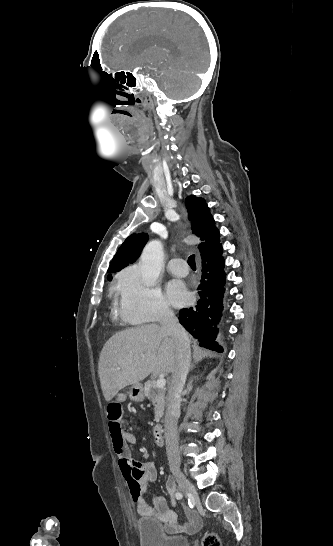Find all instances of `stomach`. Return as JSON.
<instances>
[{"instance_id":"stomach-1","label":"stomach","mask_w":333,"mask_h":546,"mask_svg":"<svg viewBox=\"0 0 333 546\" xmlns=\"http://www.w3.org/2000/svg\"><path fill=\"white\" fill-rule=\"evenodd\" d=\"M128 396L132 401L141 402L144 399L143 387L141 384H134L129 392Z\"/></svg>"}]
</instances>
